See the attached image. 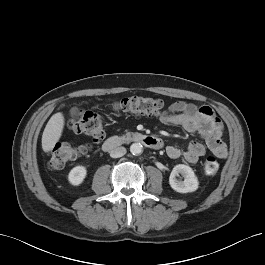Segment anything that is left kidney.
Listing matches in <instances>:
<instances>
[{
  "label": "left kidney",
  "instance_id": "left-kidney-1",
  "mask_svg": "<svg viewBox=\"0 0 265 265\" xmlns=\"http://www.w3.org/2000/svg\"><path fill=\"white\" fill-rule=\"evenodd\" d=\"M181 174L184 177L183 181L176 178ZM169 184L171 188L179 193L194 192L198 189V179L191 167L184 164L176 165L169 177Z\"/></svg>",
  "mask_w": 265,
  "mask_h": 265
}]
</instances>
